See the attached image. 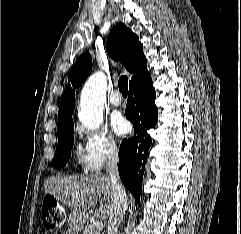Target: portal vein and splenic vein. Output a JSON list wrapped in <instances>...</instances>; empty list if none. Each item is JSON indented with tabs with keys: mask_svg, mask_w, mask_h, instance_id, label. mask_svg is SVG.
<instances>
[{
	"mask_svg": "<svg viewBox=\"0 0 241 234\" xmlns=\"http://www.w3.org/2000/svg\"><path fill=\"white\" fill-rule=\"evenodd\" d=\"M92 225H93V227H95L98 230L103 229V221H101V220L94 221Z\"/></svg>",
	"mask_w": 241,
	"mask_h": 234,
	"instance_id": "18ae733b",
	"label": "portal vein and splenic vein"
}]
</instances>
